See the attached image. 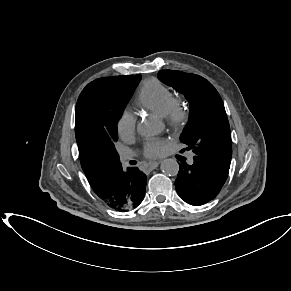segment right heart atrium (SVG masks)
Segmentation results:
<instances>
[{
	"instance_id": "1",
	"label": "right heart atrium",
	"mask_w": 291,
	"mask_h": 291,
	"mask_svg": "<svg viewBox=\"0 0 291 291\" xmlns=\"http://www.w3.org/2000/svg\"><path fill=\"white\" fill-rule=\"evenodd\" d=\"M117 131L121 138L129 139L136 131V118L129 112L124 111L117 121Z\"/></svg>"
}]
</instances>
